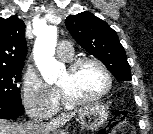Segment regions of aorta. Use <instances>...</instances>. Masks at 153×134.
<instances>
[{
    "mask_svg": "<svg viewBox=\"0 0 153 134\" xmlns=\"http://www.w3.org/2000/svg\"><path fill=\"white\" fill-rule=\"evenodd\" d=\"M57 28L46 26L38 33L34 45V60L44 81L53 84L62 70V64L54 58Z\"/></svg>",
    "mask_w": 153,
    "mask_h": 134,
    "instance_id": "1",
    "label": "aorta"
}]
</instances>
